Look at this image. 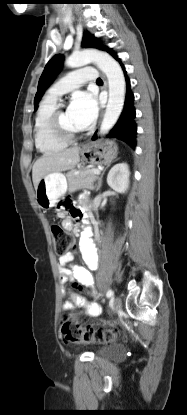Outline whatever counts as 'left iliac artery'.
<instances>
[{
  "mask_svg": "<svg viewBox=\"0 0 187 415\" xmlns=\"http://www.w3.org/2000/svg\"><path fill=\"white\" fill-rule=\"evenodd\" d=\"M114 295V292L110 289V290H108V292H107V294H106V296L108 297V298H110V297H112Z\"/></svg>",
  "mask_w": 187,
  "mask_h": 415,
  "instance_id": "obj_1",
  "label": "left iliac artery"
}]
</instances>
